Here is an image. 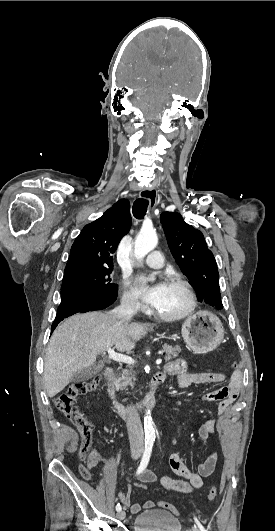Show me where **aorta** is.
<instances>
[{
  "mask_svg": "<svg viewBox=\"0 0 275 531\" xmlns=\"http://www.w3.org/2000/svg\"><path fill=\"white\" fill-rule=\"evenodd\" d=\"M158 245V237L154 229H147V231H140L136 237L134 245V257L137 261H142L150 251H154ZM144 429L148 437H155V429L153 427V419L151 411H146L144 417Z\"/></svg>",
  "mask_w": 275,
  "mask_h": 531,
  "instance_id": "aorta-1",
  "label": "aorta"
}]
</instances>
